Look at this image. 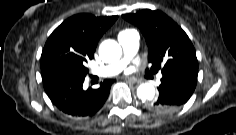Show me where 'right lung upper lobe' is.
Masks as SVG:
<instances>
[{
	"label": "right lung upper lobe",
	"instance_id": "cb5924a9",
	"mask_svg": "<svg viewBox=\"0 0 236 135\" xmlns=\"http://www.w3.org/2000/svg\"><path fill=\"white\" fill-rule=\"evenodd\" d=\"M117 18L118 16L74 15L53 31L45 47L60 43L73 50L94 54L99 39Z\"/></svg>",
	"mask_w": 236,
	"mask_h": 135
}]
</instances>
